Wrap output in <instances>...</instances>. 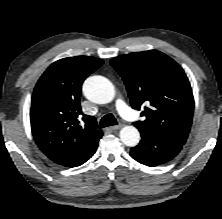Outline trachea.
Masks as SVG:
<instances>
[{
	"mask_svg": "<svg viewBox=\"0 0 222 219\" xmlns=\"http://www.w3.org/2000/svg\"><path fill=\"white\" fill-rule=\"evenodd\" d=\"M117 125L116 118L112 114H106L100 121V128Z\"/></svg>",
	"mask_w": 222,
	"mask_h": 219,
	"instance_id": "3493384b",
	"label": "trachea"
}]
</instances>
